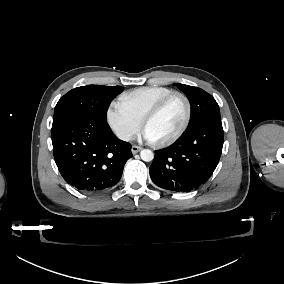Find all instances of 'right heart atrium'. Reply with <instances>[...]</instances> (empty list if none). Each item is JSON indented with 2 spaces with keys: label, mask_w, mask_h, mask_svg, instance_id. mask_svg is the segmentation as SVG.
Masks as SVG:
<instances>
[{
  "label": "right heart atrium",
  "mask_w": 284,
  "mask_h": 284,
  "mask_svg": "<svg viewBox=\"0 0 284 284\" xmlns=\"http://www.w3.org/2000/svg\"><path fill=\"white\" fill-rule=\"evenodd\" d=\"M106 121L113 135L122 142L131 141L141 126V120L122 108L117 101L109 104Z\"/></svg>",
  "instance_id": "1"
}]
</instances>
